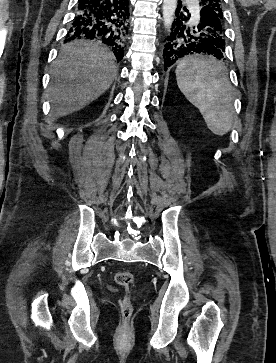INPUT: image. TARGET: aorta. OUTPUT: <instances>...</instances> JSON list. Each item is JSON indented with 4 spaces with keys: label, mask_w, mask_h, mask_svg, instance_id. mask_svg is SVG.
<instances>
[{
    "label": "aorta",
    "mask_w": 276,
    "mask_h": 363,
    "mask_svg": "<svg viewBox=\"0 0 276 363\" xmlns=\"http://www.w3.org/2000/svg\"><path fill=\"white\" fill-rule=\"evenodd\" d=\"M177 0H163V22L165 28H170L175 17Z\"/></svg>",
    "instance_id": "aorta-1"
}]
</instances>
